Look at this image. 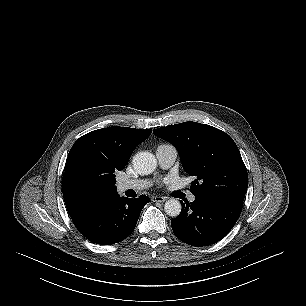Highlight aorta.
<instances>
[{
  "label": "aorta",
  "mask_w": 306,
  "mask_h": 306,
  "mask_svg": "<svg viewBox=\"0 0 306 306\" xmlns=\"http://www.w3.org/2000/svg\"><path fill=\"white\" fill-rule=\"evenodd\" d=\"M133 167L140 175H148L157 167L155 156L149 152H139L133 157ZM181 203L177 199H169L165 202V213L171 217H177L181 212Z\"/></svg>",
  "instance_id": "obj_1"
}]
</instances>
